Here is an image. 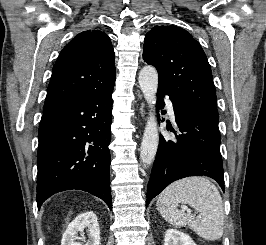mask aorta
Listing matches in <instances>:
<instances>
[{"instance_id":"aorta-1","label":"aorta","mask_w":266,"mask_h":245,"mask_svg":"<svg viewBox=\"0 0 266 245\" xmlns=\"http://www.w3.org/2000/svg\"><path fill=\"white\" fill-rule=\"evenodd\" d=\"M138 82L150 108V114L145 125L140 147V159L144 169H147L148 165H152L155 159L159 143L157 120L155 112H153V110H155L154 104L156 102V92L158 88V72L155 66H151V64L143 66L139 72Z\"/></svg>"}]
</instances>
